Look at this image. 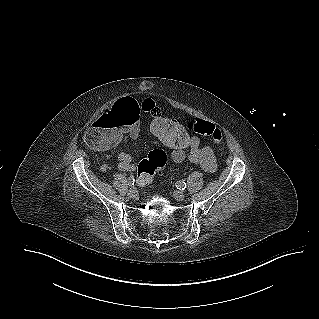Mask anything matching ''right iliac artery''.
<instances>
[{
  "mask_svg": "<svg viewBox=\"0 0 319 319\" xmlns=\"http://www.w3.org/2000/svg\"><path fill=\"white\" fill-rule=\"evenodd\" d=\"M134 178H133V176H131L130 178H129V180H128V185H130V186H132V185H134Z\"/></svg>",
  "mask_w": 319,
  "mask_h": 319,
  "instance_id": "obj_1",
  "label": "right iliac artery"
}]
</instances>
